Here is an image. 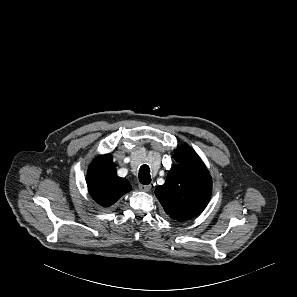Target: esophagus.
I'll return each instance as SVG.
<instances>
[{
    "instance_id": "esophagus-1",
    "label": "esophagus",
    "mask_w": 297,
    "mask_h": 297,
    "mask_svg": "<svg viewBox=\"0 0 297 297\" xmlns=\"http://www.w3.org/2000/svg\"><path fill=\"white\" fill-rule=\"evenodd\" d=\"M139 189L143 192H148L151 189V185H143V184H139Z\"/></svg>"
}]
</instances>
